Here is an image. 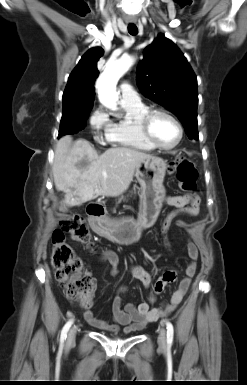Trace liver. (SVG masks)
Listing matches in <instances>:
<instances>
[{
	"mask_svg": "<svg viewBox=\"0 0 247 385\" xmlns=\"http://www.w3.org/2000/svg\"><path fill=\"white\" fill-rule=\"evenodd\" d=\"M148 157L126 147L98 155L87 140L73 142L72 137L64 136L56 144L52 167L56 190L65 193L63 203L67 206L98 196H119L128 189L137 165Z\"/></svg>",
	"mask_w": 247,
	"mask_h": 385,
	"instance_id": "obj_1",
	"label": "liver"
}]
</instances>
